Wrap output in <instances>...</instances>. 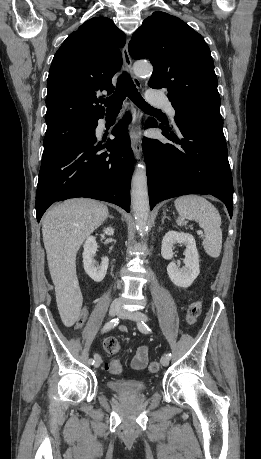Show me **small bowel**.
<instances>
[{
  "mask_svg": "<svg viewBox=\"0 0 261 459\" xmlns=\"http://www.w3.org/2000/svg\"><path fill=\"white\" fill-rule=\"evenodd\" d=\"M89 309L87 306H84L80 312V318L82 320L86 319L88 316ZM148 363V349L146 346H140L135 355L132 358L131 366L135 370H142L147 366Z\"/></svg>",
  "mask_w": 261,
  "mask_h": 459,
  "instance_id": "small-bowel-1",
  "label": "small bowel"
}]
</instances>
